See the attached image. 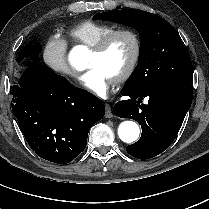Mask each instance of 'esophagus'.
Wrapping results in <instances>:
<instances>
[{"label":"esophagus","instance_id":"obj_1","mask_svg":"<svg viewBox=\"0 0 209 209\" xmlns=\"http://www.w3.org/2000/svg\"><path fill=\"white\" fill-rule=\"evenodd\" d=\"M105 107H106L105 117L106 118H112L114 115H113V112L111 110V106L109 104H105Z\"/></svg>","mask_w":209,"mask_h":209}]
</instances>
